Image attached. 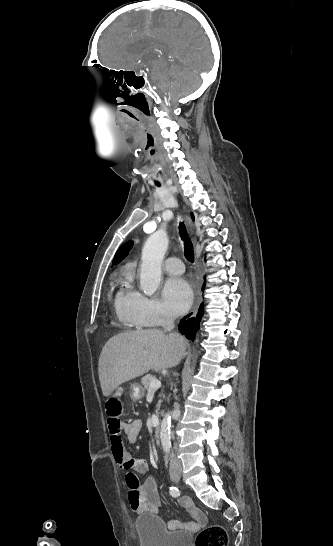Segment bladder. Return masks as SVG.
I'll use <instances>...</instances> for the list:
<instances>
[{"instance_id":"bladder-1","label":"bladder","mask_w":333,"mask_h":546,"mask_svg":"<svg viewBox=\"0 0 333 546\" xmlns=\"http://www.w3.org/2000/svg\"><path fill=\"white\" fill-rule=\"evenodd\" d=\"M140 546H191L188 532H172L163 521L151 514L139 516L134 523Z\"/></svg>"}]
</instances>
